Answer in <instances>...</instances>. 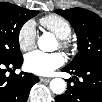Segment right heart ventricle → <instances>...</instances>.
Here are the masks:
<instances>
[{
	"mask_svg": "<svg viewBox=\"0 0 102 102\" xmlns=\"http://www.w3.org/2000/svg\"><path fill=\"white\" fill-rule=\"evenodd\" d=\"M40 24L53 33L58 39H63L72 35V26L64 17L50 14L42 17Z\"/></svg>",
	"mask_w": 102,
	"mask_h": 102,
	"instance_id": "right-heart-ventricle-1",
	"label": "right heart ventricle"
}]
</instances>
